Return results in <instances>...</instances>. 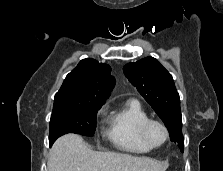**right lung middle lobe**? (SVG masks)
<instances>
[{
  "instance_id": "right-lung-middle-lobe-1",
  "label": "right lung middle lobe",
  "mask_w": 223,
  "mask_h": 171,
  "mask_svg": "<svg viewBox=\"0 0 223 171\" xmlns=\"http://www.w3.org/2000/svg\"><path fill=\"white\" fill-rule=\"evenodd\" d=\"M102 105L72 101L54 102L50 119V146L57 138L67 133L93 136L96 114Z\"/></svg>"
}]
</instances>
